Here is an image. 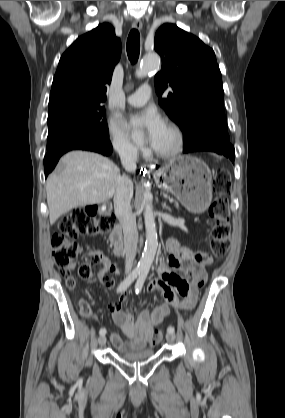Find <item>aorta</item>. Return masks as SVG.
<instances>
[{
	"instance_id": "762f6f07",
	"label": "aorta",
	"mask_w": 285,
	"mask_h": 418,
	"mask_svg": "<svg viewBox=\"0 0 285 418\" xmlns=\"http://www.w3.org/2000/svg\"><path fill=\"white\" fill-rule=\"evenodd\" d=\"M160 66V57L156 53L146 54L136 71L138 78H143L151 71L157 70ZM135 136V133L133 134ZM144 204V223L146 232V241L144 251L138 263V269L141 272L148 273L153 263L158 247V237L155 218L153 214L152 194L146 190L143 195Z\"/></svg>"
}]
</instances>
